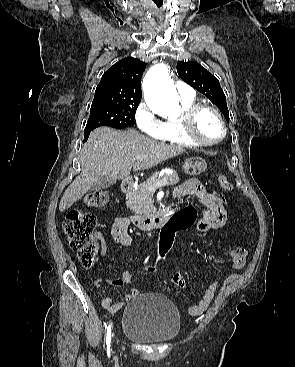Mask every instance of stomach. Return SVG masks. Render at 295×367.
Masks as SVG:
<instances>
[{"label":"stomach","instance_id":"obj_1","mask_svg":"<svg viewBox=\"0 0 295 367\" xmlns=\"http://www.w3.org/2000/svg\"><path fill=\"white\" fill-rule=\"evenodd\" d=\"M207 168V163L200 157L186 159L183 165V171L188 175H199Z\"/></svg>","mask_w":295,"mask_h":367}]
</instances>
